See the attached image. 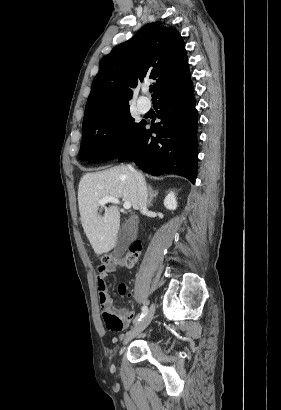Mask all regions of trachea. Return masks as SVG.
<instances>
[{
	"label": "trachea",
	"mask_w": 281,
	"mask_h": 410,
	"mask_svg": "<svg viewBox=\"0 0 281 410\" xmlns=\"http://www.w3.org/2000/svg\"><path fill=\"white\" fill-rule=\"evenodd\" d=\"M153 90H154V88H153V87H150V89H149L150 93H152Z\"/></svg>",
	"instance_id": "3493384b"
}]
</instances>
